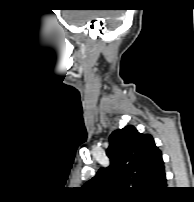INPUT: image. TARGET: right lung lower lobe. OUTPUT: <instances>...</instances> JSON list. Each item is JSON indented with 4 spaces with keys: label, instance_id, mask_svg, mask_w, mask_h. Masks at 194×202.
<instances>
[{
    "label": "right lung lower lobe",
    "instance_id": "1",
    "mask_svg": "<svg viewBox=\"0 0 194 202\" xmlns=\"http://www.w3.org/2000/svg\"><path fill=\"white\" fill-rule=\"evenodd\" d=\"M163 194H164V190L161 191V192H159L158 194H155L154 196H155V197H159V196H162Z\"/></svg>",
    "mask_w": 194,
    "mask_h": 202
}]
</instances>
